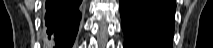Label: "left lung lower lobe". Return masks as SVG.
Listing matches in <instances>:
<instances>
[{
  "instance_id": "0a47b994",
  "label": "left lung lower lobe",
  "mask_w": 213,
  "mask_h": 48,
  "mask_svg": "<svg viewBox=\"0 0 213 48\" xmlns=\"http://www.w3.org/2000/svg\"><path fill=\"white\" fill-rule=\"evenodd\" d=\"M175 0H120L124 48H172Z\"/></svg>"
}]
</instances>
